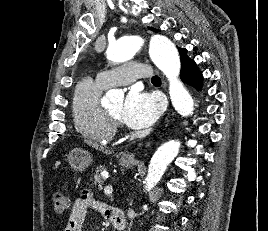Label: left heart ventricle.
<instances>
[{
    "mask_svg": "<svg viewBox=\"0 0 268 231\" xmlns=\"http://www.w3.org/2000/svg\"><path fill=\"white\" fill-rule=\"evenodd\" d=\"M108 111H110L114 116L118 118H122V111H123V101L115 102L111 104L108 108Z\"/></svg>",
    "mask_w": 268,
    "mask_h": 231,
    "instance_id": "1",
    "label": "left heart ventricle"
}]
</instances>
